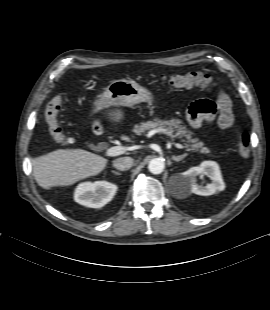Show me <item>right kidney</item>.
<instances>
[{
    "label": "right kidney",
    "instance_id": "right-kidney-1",
    "mask_svg": "<svg viewBox=\"0 0 270 310\" xmlns=\"http://www.w3.org/2000/svg\"><path fill=\"white\" fill-rule=\"evenodd\" d=\"M117 186L107 181L84 182L77 186L74 200L86 207L101 208L112 200Z\"/></svg>",
    "mask_w": 270,
    "mask_h": 310
}]
</instances>
